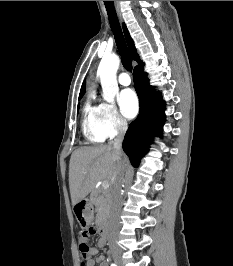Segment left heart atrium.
I'll return each mask as SVG.
<instances>
[{"label":"left heart atrium","mask_w":233,"mask_h":266,"mask_svg":"<svg viewBox=\"0 0 233 266\" xmlns=\"http://www.w3.org/2000/svg\"><path fill=\"white\" fill-rule=\"evenodd\" d=\"M118 103L122 115L127 119L134 118L139 109L138 98L131 89H124L119 93Z\"/></svg>","instance_id":"39dd6f15"}]
</instances>
